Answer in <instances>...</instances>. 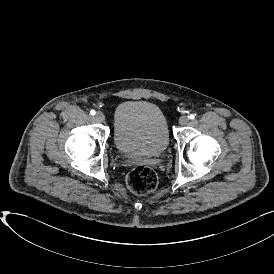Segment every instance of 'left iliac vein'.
Instances as JSON below:
<instances>
[{"label":"left iliac vein","instance_id":"left-iliac-vein-1","mask_svg":"<svg viewBox=\"0 0 274 274\" xmlns=\"http://www.w3.org/2000/svg\"><path fill=\"white\" fill-rule=\"evenodd\" d=\"M189 117L188 116H181L180 119H179V124L184 126V125H187L189 123Z\"/></svg>","mask_w":274,"mask_h":274}]
</instances>
